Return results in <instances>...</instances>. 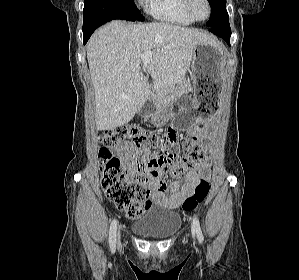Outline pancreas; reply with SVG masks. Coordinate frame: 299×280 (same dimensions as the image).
I'll return each mask as SVG.
<instances>
[{
    "mask_svg": "<svg viewBox=\"0 0 299 280\" xmlns=\"http://www.w3.org/2000/svg\"><path fill=\"white\" fill-rule=\"evenodd\" d=\"M170 87V92L167 94H161L160 92L152 93L149 99L156 105L160 106L164 104L171 97L172 94L177 93L179 90L184 89V91L188 90V84H185L183 87H177L176 89L171 87L170 85H163L160 89Z\"/></svg>",
    "mask_w": 299,
    "mask_h": 280,
    "instance_id": "pancreas-1",
    "label": "pancreas"
}]
</instances>
